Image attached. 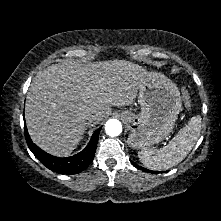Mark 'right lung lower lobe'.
Instances as JSON below:
<instances>
[{"label": "right lung lower lobe", "mask_w": 221, "mask_h": 221, "mask_svg": "<svg viewBox=\"0 0 221 221\" xmlns=\"http://www.w3.org/2000/svg\"><path fill=\"white\" fill-rule=\"evenodd\" d=\"M24 129H25V138L27 145L29 149L32 151V153L35 155V157L50 170L56 173L69 174V175L82 172L93 161L98 143L99 132L101 130V128H99L93 133L89 144L80 153L74 156L60 158L52 156L44 152L43 150L39 149L32 142L25 125Z\"/></svg>", "instance_id": "obj_1"}]
</instances>
